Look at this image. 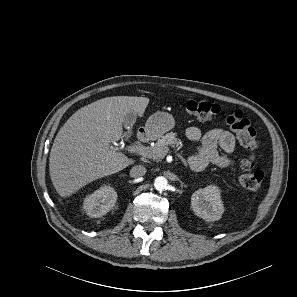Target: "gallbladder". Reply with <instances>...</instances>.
Masks as SVG:
<instances>
[{"label": "gallbladder", "mask_w": 297, "mask_h": 297, "mask_svg": "<svg viewBox=\"0 0 297 297\" xmlns=\"http://www.w3.org/2000/svg\"><path fill=\"white\" fill-rule=\"evenodd\" d=\"M136 121V114L133 112L128 113L126 116L123 118V125L126 126H133Z\"/></svg>", "instance_id": "obj_1"}]
</instances>
